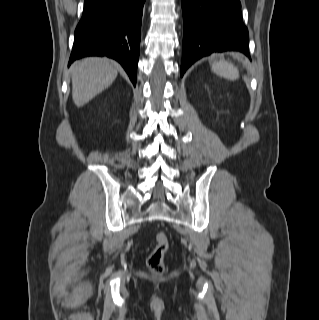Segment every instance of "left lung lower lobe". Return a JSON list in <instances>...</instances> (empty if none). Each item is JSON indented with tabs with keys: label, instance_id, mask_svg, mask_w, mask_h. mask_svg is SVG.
<instances>
[{
	"label": "left lung lower lobe",
	"instance_id": "left-lung-lower-lobe-1",
	"mask_svg": "<svg viewBox=\"0 0 319 320\" xmlns=\"http://www.w3.org/2000/svg\"><path fill=\"white\" fill-rule=\"evenodd\" d=\"M184 22L180 74L213 52L238 51L250 58L248 30L239 0H181Z\"/></svg>",
	"mask_w": 319,
	"mask_h": 320
}]
</instances>
